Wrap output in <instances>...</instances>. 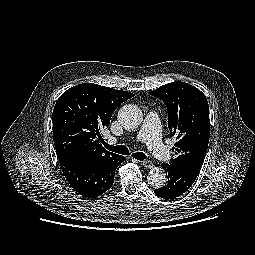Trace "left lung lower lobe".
<instances>
[{
	"mask_svg": "<svg viewBox=\"0 0 255 255\" xmlns=\"http://www.w3.org/2000/svg\"><path fill=\"white\" fill-rule=\"evenodd\" d=\"M168 181L162 188L156 189L155 194L164 199H174L184 194L196 180V175L185 168L174 164L162 163Z\"/></svg>",
	"mask_w": 255,
	"mask_h": 255,
	"instance_id": "1",
	"label": "left lung lower lobe"
}]
</instances>
